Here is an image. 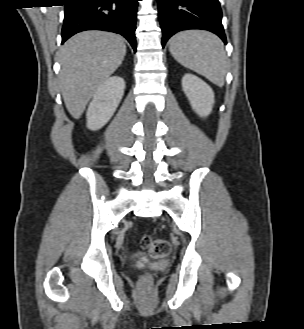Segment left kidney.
I'll list each match as a JSON object with an SVG mask.
<instances>
[{
  "instance_id": "5707ae66",
  "label": "left kidney",
  "mask_w": 304,
  "mask_h": 329,
  "mask_svg": "<svg viewBox=\"0 0 304 329\" xmlns=\"http://www.w3.org/2000/svg\"><path fill=\"white\" fill-rule=\"evenodd\" d=\"M182 88L192 109L200 116H208L214 104L212 88L199 77L185 74L182 78Z\"/></svg>"
}]
</instances>
